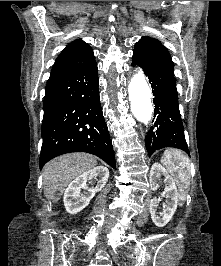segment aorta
<instances>
[{"instance_id": "1", "label": "aorta", "mask_w": 221, "mask_h": 266, "mask_svg": "<svg viewBox=\"0 0 221 266\" xmlns=\"http://www.w3.org/2000/svg\"><path fill=\"white\" fill-rule=\"evenodd\" d=\"M131 111L135 118L147 125L152 117L151 91L142 71L136 72L128 86Z\"/></svg>"}]
</instances>
